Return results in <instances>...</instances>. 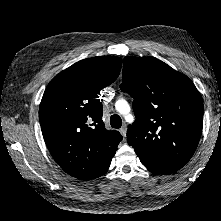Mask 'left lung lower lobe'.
<instances>
[{"label":"left lung lower lobe","mask_w":221,"mask_h":221,"mask_svg":"<svg viewBox=\"0 0 221 221\" xmlns=\"http://www.w3.org/2000/svg\"><path fill=\"white\" fill-rule=\"evenodd\" d=\"M141 163L152 173L155 174H171L180 168L181 166L177 164H173L170 162H166L164 160H160L151 156L137 154Z\"/></svg>","instance_id":"left-lung-lower-lobe-1"}]
</instances>
